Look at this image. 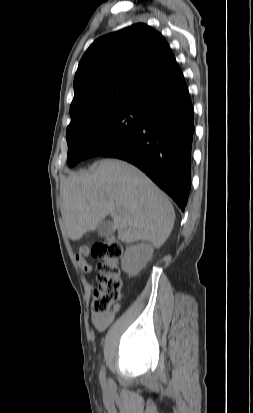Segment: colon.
Returning <instances> with one entry per match:
<instances>
[{"label":"colon","instance_id":"obj_1","mask_svg":"<svg viewBox=\"0 0 253 413\" xmlns=\"http://www.w3.org/2000/svg\"><path fill=\"white\" fill-rule=\"evenodd\" d=\"M91 253L99 261L92 314L105 315L123 297L124 280L119 267L122 246L113 236H108L103 241L96 243L92 247Z\"/></svg>","mask_w":253,"mask_h":413}]
</instances>
